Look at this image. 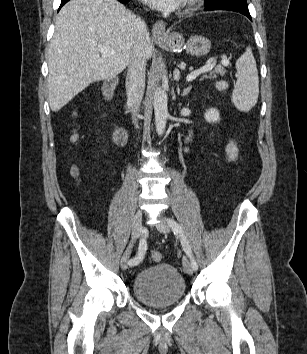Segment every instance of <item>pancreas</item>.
Listing matches in <instances>:
<instances>
[{"mask_svg": "<svg viewBox=\"0 0 307 354\" xmlns=\"http://www.w3.org/2000/svg\"><path fill=\"white\" fill-rule=\"evenodd\" d=\"M220 74V75H225V69L223 66L221 65H218L216 66L211 72L209 75H204L203 78H216L217 75Z\"/></svg>", "mask_w": 307, "mask_h": 354, "instance_id": "pancreas-1", "label": "pancreas"}]
</instances>
